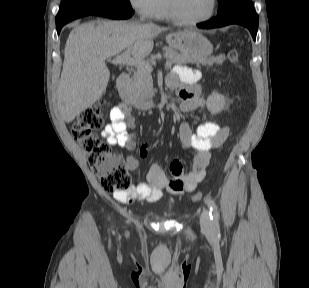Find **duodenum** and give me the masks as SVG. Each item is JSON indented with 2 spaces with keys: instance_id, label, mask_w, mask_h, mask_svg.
I'll list each match as a JSON object with an SVG mask.
<instances>
[{
  "instance_id": "410a0bca",
  "label": "duodenum",
  "mask_w": 309,
  "mask_h": 288,
  "mask_svg": "<svg viewBox=\"0 0 309 288\" xmlns=\"http://www.w3.org/2000/svg\"><path fill=\"white\" fill-rule=\"evenodd\" d=\"M129 82H130V76L127 73H122L118 76L116 80V87L118 90V93L125 104H130L133 100L132 95L129 90ZM155 103L154 100H149L147 102L148 105H153Z\"/></svg>"
}]
</instances>
